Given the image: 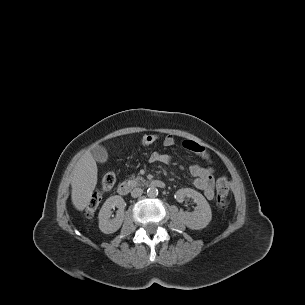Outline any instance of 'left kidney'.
<instances>
[{
	"mask_svg": "<svg viewBox=\"0 0 305 305\" xmlns=\"http://www.w3.org/2000/svg\"><path fill=\"white\" fill-rule=\"evenodd\" d=\"M175 197L178 202H183L185 198H192L197 204L193 212L181 210L178 213L179 219L188 228L192 230H200L205 228L209 224L212 219L211 208L209 203L201 193L191 188H182L176 192Z\"/></svg>",
	"mask_w": 305,
	"mask_h": 305,
	"instance_id": "5707ae66",
	"label": "left kidney"
}]
</instances>
